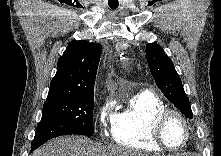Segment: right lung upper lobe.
<instances>
[{
	"label": "right lung upper lobe",
	"instance_id": "obj_1",
	"mask_svg": "<svg viewBox=\"0 0 221 156\" xmlns=\"http://www.w3.org/2000/svg\"><path fill=\"white\" fill-rule=\"evenodd\" d=\"M102 46L88 41H72L59 58L47 100L94 92Z\"/></svg>",
	"mask_w": 221,
	"mask_h": 156
}]
</instances>
